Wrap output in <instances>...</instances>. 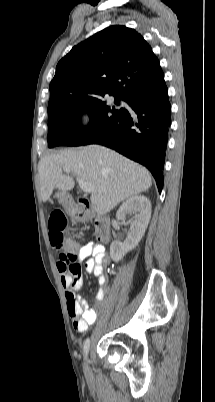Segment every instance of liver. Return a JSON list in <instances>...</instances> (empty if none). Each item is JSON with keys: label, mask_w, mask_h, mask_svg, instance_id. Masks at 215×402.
Here are the masks:
<instances>
[{"label": "liver", "mask_w": 215, "mask_h": 402, "mask_svg": "<svg viewBox=\"0 0 215 402\" xmlns=\"http://www.w3.org/2000/svg\"><path fill=\"white\" fill-rule=\"evenodd\" d=\"M77 178L91 183V203L97 214L110 212L123 200L148 190L152 185L150 173L139 164L119 153L99 145L79 150H65L44 156L39 163L40 194L46 202L53 190L70 191Z\"/></svg>", "instance_id": "6515ba94"}]
</instances>
